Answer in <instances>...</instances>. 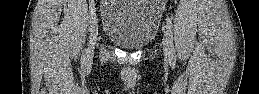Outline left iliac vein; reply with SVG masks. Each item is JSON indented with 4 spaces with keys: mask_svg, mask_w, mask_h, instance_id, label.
Returning <instances> with one entry per match:
<instances>
[{
    "mask_svg": "<svg viewBox=\"0 0 259 94\" xmlns=\"http://www.w3.org/2000/svg\"><path fill=\"white\" fill-rule=\"evenodd\" d=\"M163 50H164V57L165 61H169V43L167 38H164L163 40Z\"/></svg>",
    "mask_w": 259,
    "mask_h": 94,
    "instance_id": "obj_1",
    "label": "left iliac vein"
}]
</instances>
